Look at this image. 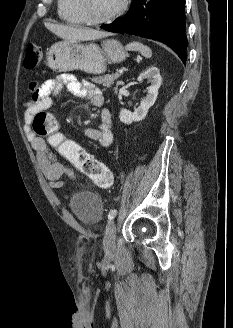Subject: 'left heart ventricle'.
I'll return each mask as SVG.
<instances>
[{
	"mask_svg": "<svg viewBox=\"0 0 233 328\" xmlns=\"http://www.w3.org/2000/svg\"><path fill=\"white\" fill-rule=\"evenodd\" d=\"M122 0H87L89 14L94 18H102L113 12Z\"/></svg>",
	"mask_w": 233,
	"mask_h": 328,
	"instance_id": "b2bd125f",
	"label": "left heart ventricle"
}]
</instances>
